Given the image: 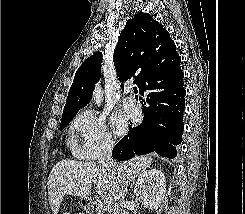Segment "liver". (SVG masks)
<instances>
[{
    "label": "liver",
    "mask_w": 245,
    "mask_h": 214,
    "mask_svg": "<svg viewBox=\"0 0 245 214\" xmlns=\"http://www.w3.org/2000/svg\"><path fill=\"white\" fill-rule=\"evenodd\" d=\"M151 157H134L118 163L117 170H111L95 162L62 160L51 170L48 181V196L53 214H57L64 195L86 198L96 185L98 194L118 199L119 189L125 182H134L152 163Z\"/></svg>",
    "instance_id": "liver-1"
}]
</instances>
